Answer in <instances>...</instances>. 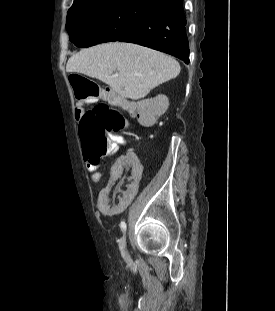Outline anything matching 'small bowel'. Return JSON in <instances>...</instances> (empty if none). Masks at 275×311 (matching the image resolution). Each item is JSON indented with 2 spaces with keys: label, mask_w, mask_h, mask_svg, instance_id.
I'll return each mask as SVG.
<instances>
[{
  "label": "small bowel",
  "mask_w": 275,
  "mask_h": 311,
  "mask_svg": "<svg viewBox=\"0 0 275 311\" xmlns=\"http://www.w3.org/2000/svg\"><path fill=\"white\" fill-rule=\"evenodd\" d=\"M121 107L127 109L125 103H120ZM89 104L79 102L75 109V117L79 120L85 111V107ZM132 112V111H131ZM118 145L123 146L126 144L124 137L118 136L115 138ZM85 165L87 171L91 174V179L94 183H98L102 179L100 172V160H94L85 156ZM111 169H108L107 174L114 178V180H131L125 184L123 191L119 194L116 200H112L117 194V187H111L109 184L106 187H101L98 196L101 200L95 207L96 213H102L103 216H120L123 210L127 207L130 201L138 193V180H141L144 165L141 160H138L136 150H123L119 160H112Z\"/></svg>",
  "instance_id": "obj_1"
}]
</instances>
